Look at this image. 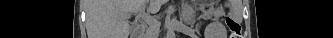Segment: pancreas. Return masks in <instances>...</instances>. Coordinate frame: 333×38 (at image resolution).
Masks as SVG:
<instances>
[{
    "instance_id": "pancreas-1",
    "label": "pancreas",
    "mask_w": 333,
    "mask_h": 38,
    "mask_svg": "<svg viewBox=\"0 0 333 38\" xmlns=\"http://www.w3.org/2000/svg\"><path fill=\"white\" fill-rule=\"evenodd\" d=\"M158 30V25L155 23L154 25H150L146 30L147 38H150V35H153Z\"/></svg>"
}]
</instances>
